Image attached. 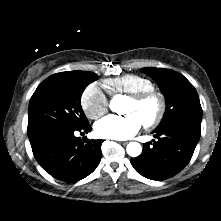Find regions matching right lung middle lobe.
Listing matches in <instances>:
<instances>
[{"label": "right lung middle lobe", "instance_id": "1", "mask_svg": "<svg viewBox=\"0 0 221 221\" xmlns=\"http://www.w3.org/2000/svg\"><path fill=\"white\" fill-rule=\"evenodd\" d=\"M97 79L89 71L61 72L45 79L29 102L28 136L49 127L88 124L80 100L86 86Z\"/></svg>", "mask_w": 221, "mask_h": 221}]
</instances>
